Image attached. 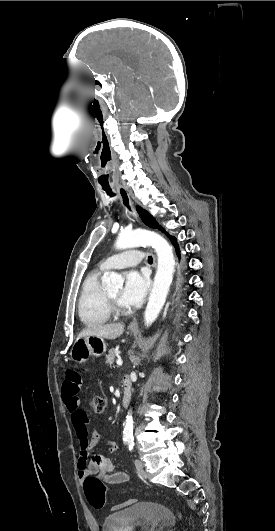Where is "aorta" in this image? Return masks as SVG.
I'll return each mask as SVG.
<instances>
[{
    "mask_svg": "<svg viewBox=\"0 0 275 531\" xmlns=\"http://www.w3.org/2000/svg\"><path fill=\"white\" fill-rule=\"evenodd\" d=\"M142 243L155 249L158 257V269L144 313V325L145 327H150L156 321L161 309H163L172 283L175 261L172 247H170L166 239H163L157 233H150V231H127V229H124V231H120L115 247L120 249V251H125V249H132V247H140ZM104 283L108 291L110 289H122L124 279L118 273H111L108 277H104ZM132 435L133 417L131 411H129L123 429V437H129L130 439Z\"/></svg>",
    "mask_w": 275,
    "mask_h": 531,
    "instance_id": "1",
    "label": "aorta"
}]
</instances>
